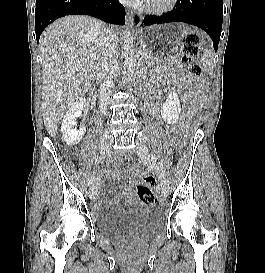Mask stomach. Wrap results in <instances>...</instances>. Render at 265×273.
I'll return each instance as SVG.
<instances>
[{"mask_svg": "<svg viewBox=\"0 0 265 273\" xmlns=\"http://www.w3.org/2000/svg\"><path fill=\"white\" fill-rule=\"evenodd\" d=\"M188 30H194V25H157L139 32L140 43L136 49H143L142 60L147 64H168L173 56H178V45Z\"/></svg>", "mask_w": 265, "mask_h": 273, "instance_id": "1", "label": "stomach"}]
</instances>
